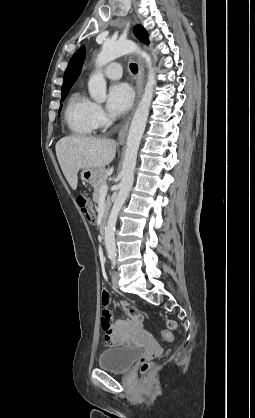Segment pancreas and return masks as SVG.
I'll return each instance as SVG.
<instances>
[{
  "label": "pancreas",
  "instance_id": "cf45deb5",
  "mask_svg": "<svg viewBox=\"0 0 255 418\" xmlns=\"http://www.w3.org/2000/svg\"><path fill=\"white\" fill-rule=\"evenodd\" d=\"M108 170H103L98 177L97 181L93 184L94 187V193H93V200L94 202H98L99 196H100V189L103 185L107 183V177H108ZM111 201L110 198L107 197L105 202V212H107L110 208Z\"/></svg>",
  "mask_w": 255,
  "mask_h": 418
}]
</instances>
